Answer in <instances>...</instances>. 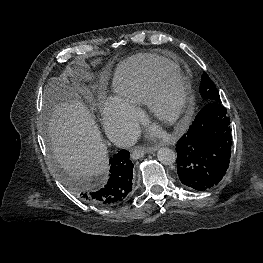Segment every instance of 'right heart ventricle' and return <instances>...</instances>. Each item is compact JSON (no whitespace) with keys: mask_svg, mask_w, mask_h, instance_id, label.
<instances>
[{"mask_svg":"<svg viewBox=\"0 0 263 263\" xmlns=\"http://www.w3.org/2000/svg\"><path fill=\"white\" fill-rule=\"evenodd\" d=\"M177 70L174 63L155 55L140 54L130 57L114 72L112 86L116 99L132 107L143 104L153 79L162 72Z\"/></svg>","mask_w":263,"mask_h":263,"instance_id":"obj_1","label":"right heart ventricle"}]
</instances>
